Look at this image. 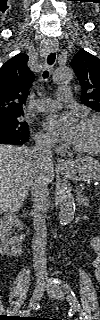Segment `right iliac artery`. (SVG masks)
Segmentation results:
<instances>
[{"label":"right iliac artery","instance_id":"right-iliac-artery-1","mask_svg":"<svg viewBox=\"0 0 100 320\" xmlns=\"http://www.w3.org/2000/svg\"><path fill=\"white\" fill-rule=\"evenodd\" d=\"M28 312H29V310L25 309L23 311H20L19 314H20V316H24V315L28 314Z\"/></svg>","mask_w":100,"mask_h":320}]
</instances>
